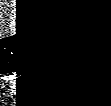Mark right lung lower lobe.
Masks as SVG:
<instances>
[{"instance_id": "98d812e1", "label": "right lung lower lobe", "mask_w": 111, "mask_h": 106, "mask_svg": "<svg viewBox=\"0 0 111 106\" xmlns=\"http://www.w3.org/2000/svg\"><path fill=\"white\" fill-rule=\"evenodd\" d=\"M42 1L23 0L18 3V29L13 36L0 39V73H12L25 69L35 57L47 31L53 25L55 14L52 1L47 11H42ZM45 10V9H44ZM20 12L22 15H20ZM22 18V24L19 19ZM17 26V27H18Z\"/></svg>"}]
</instances>
